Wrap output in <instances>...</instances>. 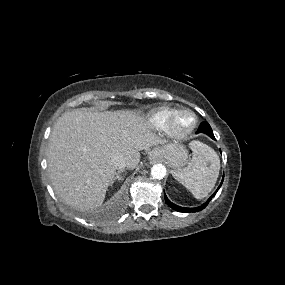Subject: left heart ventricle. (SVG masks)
Returning <instances> with one entry per match:
<instances>
[{"mask_svg":"<svg viewBox=\"0 0 285 285\" xmlns=\"http://www.w3.org/2000/svg\"><path fill=\"white\" fill-rule=\"evenodd\" d=\"M183 123H184V124L189 123V119H188V118H186L185 120H183Z\"/></svg>","mask_w":285,"mask_h":285,"instance_id":"obj_1","label":"left heart ventricle"}]
</instances>
